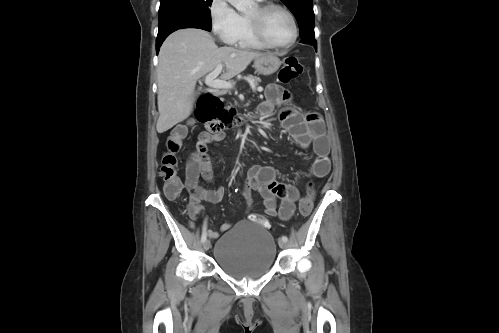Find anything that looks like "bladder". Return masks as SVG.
Returning <instances> with one entry per match:
<instances>
[{
    "instance_id": "obj_1",
    "label": "bladder",
    "mask_w": 499,
    "mask_h": 333,
    "mask_svg": "<svg viewBox=\"0 0 499 333\" xmlns=\"http://www.w3.org/2000/svg\"><path fill=\"white\" fill-rule=\"evenodd\" d=\"M214 260L222 271L236 278L267 274L276 260V242L261 224L239 221L218 238Z\"/></svg>"
}]
</instances>
